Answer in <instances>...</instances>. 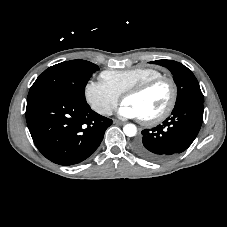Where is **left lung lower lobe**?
<instances>
[{"label": "left lung lower lobe", "instance_id": "0a47b994", "mask_svg": "<svg viewBox=\"0 0 227 227\" xmlns=\"http://www.w3.org/2000/svg\"><path fill=\"white\" fill-rule=\"evenodd\" d=\"M204 101L192 99L175 106L161 125L144 129L135 151L153 162L165 161L185 151L196 138L203 121Z\"/></svg>", "mask_w": 227, "mask_h": 227}]
</instances>
